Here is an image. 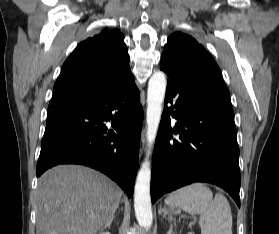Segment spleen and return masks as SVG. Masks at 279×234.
Masks as SVG:
<instances>
[{"mask_svg":"<svg viewBox=\"0 0 279 234\" xmlns=\"http://www.w3.org/2000/svg\"><path fill=\"white\" fill-rule=\"evenodd\" d=\"M171 207H179L190 214H199L201 234H232V213L226 197L202 183L183 187L165 199Z\"/></svg>","mask_w":279,"mask_h":234,"instance_id":"3e777b00","label":"spleen"}]
</instances>
